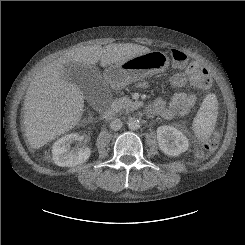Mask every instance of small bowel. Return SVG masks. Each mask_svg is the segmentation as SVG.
Listing matches in <instances>:
<instances>
[{
    "label": "small bowel",
    "mask_w": 245,
    "mask_h": 245,
    "mask_svg": "<svg viewBox=\"0 0 245 245\" xmlns=\"http://www.w3.org/2000/svg\"><path fill=\"white\" fill-rule=\"evenodd\" d=\"M208 73L198 63L190 64L183 72H177L171 76V84L179 89L167 102L164 98L158 97L147 107V115H159L164 119L171 120L185 115L197 103L198 97L195 93H187L182 91L187 84L194 89L201 88L196 78L199 74Z\"/></svg>",
    "instance_id": "1"
}]
</instances>
